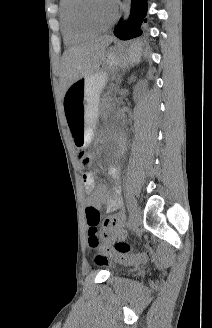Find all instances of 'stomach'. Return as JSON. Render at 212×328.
Segmentation results:
<instances>
[{
  "mask_svg": "<svg viewBox=\"0 0 212 328\" xmlns=\"http://www.w3.org/2000/svg\"><path fill=\"white\" fill-rule=\"evenodd\" d=\"M138 58L139 49L132 47L129 51V60L135 62ZM107 63L112 67L117 65L119 60L115 55L110 54ZM106 81V72L100 71L79 78L65 92L66 124L70 128L72 140L77 148H85L93 138L100 94Z\"/></svg>",
  "mask_w": 212,
  "mask_h": 328,
  "instance_id": "0dacf381",
  "label": "stomach"
}]
</instances>
